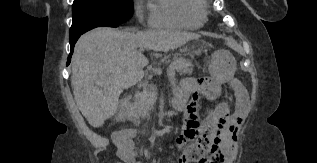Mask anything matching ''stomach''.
<instances>
[{"label": "stomach", "mask_w": 317, "mask_h": 163, "mask_svg": "<svg viewBox=\"0 0 317 163\" xmlns=\"http://www.w3.org/2000/svg\"><path fill=\"white\" fill-rule=\"evenodd\" d=\"M236 70V60L227 50H217L212 53L209 62V73L219 82L231 79Z\"/></svg>", "instance_id": "stomach-1"}]
</instances>
